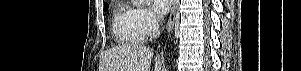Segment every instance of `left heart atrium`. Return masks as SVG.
<instances>
[{
	"label": "left heart atrium",
	"mask_w": 301,
	"mask_h": 71,
	"mask_svg": "<svg viewBox=\"0 0 301 71\" xmlns=\"http://www.w3.org/2000/svg\"><path fill=\"white\" fill-rule=\"evenodd\" d=\"M153 9L156 13L163 15L165 14L171 7V0H151Z\"/></svg>",
	"instance_id": "obj_1"
}]
</instances>
